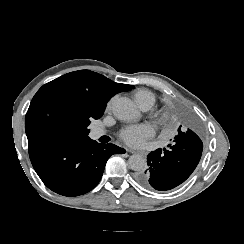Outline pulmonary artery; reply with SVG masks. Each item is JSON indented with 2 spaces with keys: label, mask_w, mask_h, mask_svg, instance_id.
I'll list each match as a JSON object with an SVG mask.
<instances>
[{
  "label": "pulmonary artery",
  "mask_w": 244,
  "mask_h": 244,
  "mask_svg": "<svg viewBox=\"0 0 244 244\" xmlns=\"http://www.w3.org/2000/svg\"><path fill=\"white\" fill-rule=\"evenodd\" d=\"M140 109L143 111V112H147L151 109V106L149 104H142ZM104 134V130L102 129H93L90 133V137L92 138H98L100 137L101 135Z\"/></svg>",
  "instance_id": "1"
}]
</instances>
